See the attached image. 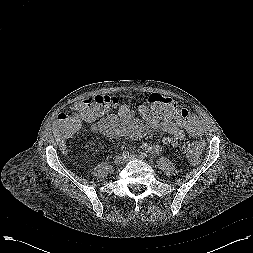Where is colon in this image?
Here are the masks:
<instances>
[{"mask_svg": "<svg viewBox=\"0 0 253 253\" xmlns=\"http://www.w3.org/2000/svg\"><path fill=\"white\" fill-rule=\"evenodd\" d=\"M119 103V98L113 95H96L76 102L67 112L58 116L59 129L65 136H71L78 131L83 121H92ZM148 103V117L176 119L191 133H199L200 122L197 116L188 109L181 108L174 99L153 93L149 96ZM203 145L201 140L184 144V152L190 162H198Z\"/></svg>", "mask_w": 253, "mask_h": 253, "instance_id": "colon-1", "label": "colon"}]
</instances>
